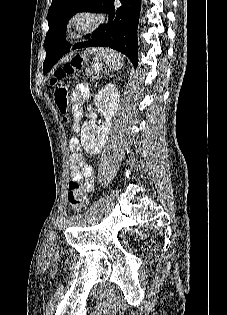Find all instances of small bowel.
<instances>
[{
	"label": "small bowel",
	"instance_id": "1",
	"mask_svg": "<svg viewBox=\"0 0 227 315\" xmlns=\"http://www.w3.org/2000/svg\"><path fill=\"white\" fill-rule=\"evenodd\" d=\"M89 96V89L84 84L77 85L72 95V106L76 117H79L81 102ZM73 131L80 129L79 123L75 122L72 126ZM69 148L72 151L69 160L71 180L82 182V188L85 192L90 193L94 189V168L84 160L80 149V141L76 137L69 140Z\"/></svg>",
	"mask_w": 227,
	"mask_h": 315
}]
</instances>
